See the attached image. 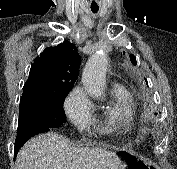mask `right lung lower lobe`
<instances>
[{
    "label": "right lung lower lobe",
    "mask_w": 177,
    "mask_h": 169,
    "mask_svg": "<svg viewBox=\"0 0 177 169\" xmlns=\"http://www.w3.org/2000/svg\"><path fill=\"white\" fill-rule=\"evenodd\" d=\"M49 128L50 127L45 126L41 123H37L35 121L30 120H26L22 123H19L15 140V152H18V150L23 146V144L32 136L38 133L48 132Z\"/></svg>",
    "instance_id": "obj_1"
}]
</instances>
